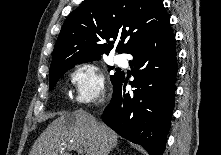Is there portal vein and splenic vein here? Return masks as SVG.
Listing matches in <instances>:
<instances>
[{
    "instance_id": "obj_1",
    "label": "portal vein and splenic vein",
    "mask_w": 221,
    "mask_h": 155,
    "mask_svg": "<svg viewBox=\"0 0 221 155\" xmlns=\"http://www.w3.org/2000/svg\"><path fill=\"white\" fill-rule=\"evenodd\" d=\"M68 149H69V150H70V149L77 150V151H78L79 153H81V154L83 153L82 149L79 148L78 146H75V145L69 146Z\"/></svg>"
}]
</instances>
